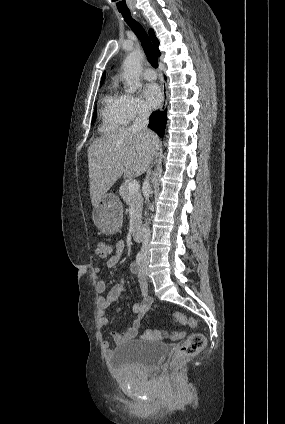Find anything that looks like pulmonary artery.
<instances>
[{"mask_svg": "<svg viewBox=\"0 0 285 424\" xmlns=\"http://www.w3.org/2000/svg\"><path fill=\"white\" fill-rule=\"evenodd\" d=\"M143 77L146 80L152 81V80H155L157 78V74H156L155 70H153L152 68H147L143 71Z\"/></svg>", "mask_w": 285, "mask_h": 424, "instance_id": "e3ab8cb5", "label": "pulmonary artery"}]
</instances>
